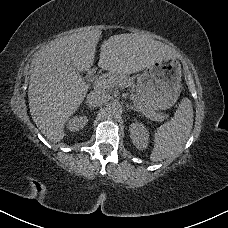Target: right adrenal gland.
<instances>
[{"instance_id":"right-adrenal-gland-1","label":"right adrenal gland","mask_w":228,"mask_h":228,"mask_svg":"<svg viewBox=\"0 0 228 228\" xmlns=\"http://www.w3.org/2000/svg\"><path fill=\"white\" fill-rule=\"evenodd\" d=\"M84 105L87 106L91 111H93L95 109L93 106H90L87 103H84Z\"/></svg>"}]
</instances>
